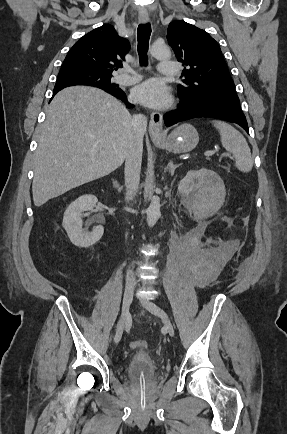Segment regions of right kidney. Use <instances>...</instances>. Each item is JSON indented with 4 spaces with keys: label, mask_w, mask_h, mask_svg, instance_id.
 <instances>
[{
    "label": "right kidney",
    "mask_w": 287,
    "mask_h": 434,
    "mask_svg": "<svg viewBox=\"0 0 287 434\" xmlns=\"http://www.w3.org/2000/svg\"><path fill=\"white\" fill-rule=\"evenodd\" d=\"M98 202L94 195H83L72 202L64 212L63 227L66 230L70 241L78 246L87 248L98 242L104 232L101 225L93 227L91 232L84 230L82 213L90 211Z\"/></svg>",
    "instance_id": "1"
}]
</instances>
